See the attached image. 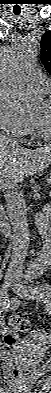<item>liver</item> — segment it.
<instances>
[{
    "label": "liver",
    "instance_id": "obj_1",
    "mask_svg": "<svg viewBox=\"0 0 51 393\" xmlns=\"http://www.w3.org/2000/svg\"><path fill=\"white\" fill-rule=\"evenodd\" d=\"M51 163V146L34 150L24 149L14 140L0 135V180L5 184L18 183L39 173ZM8 187V186H5Z\"/></svg>",
    "mask_w": 51,
    "mask_h": 393
}]
</instances>
